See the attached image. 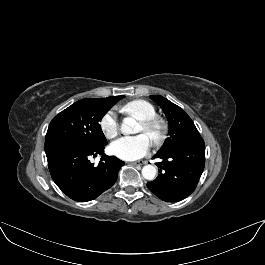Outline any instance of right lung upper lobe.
<instances>
[{"mask_svg":"<svg viewBox=\"0 0 265 265\" xmlns=\"http://www.w3.org/2000/svg\"><path fill=\"white\" fill-rule=\"evenodd\" d=\"M123 98V96H114V97H108L106 98L107 100L111 101V102H115L117 103L119 100H121Z\"/></svg>","mask_w":265,"mask_h":265,"instance_id":"right-lung-upper-lobe-1","label":"right lung upper lobe"}]
</instances>
